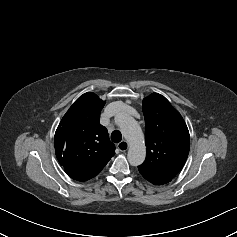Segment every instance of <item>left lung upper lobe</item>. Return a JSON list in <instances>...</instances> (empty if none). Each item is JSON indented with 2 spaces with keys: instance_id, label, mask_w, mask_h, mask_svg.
<instances>
[{
  "instance_id": "obj_1",
  "label": "left lung upper lobe",
  "mask_w": 237,
  "mask_h": 237,
  "mask_svg": "<svg viewBox=\"0 0 237 237\" xmlns=\"http://www.w3.org/2000/svg\"><path fill=\"white\" fill-rule=\"evenodd\" d=\"M146 159L139 170L172 180L189 153L190 136L180 113L162 95L153 93L143 100Z\"/></svg>"
}]
</instances>
